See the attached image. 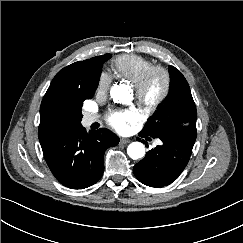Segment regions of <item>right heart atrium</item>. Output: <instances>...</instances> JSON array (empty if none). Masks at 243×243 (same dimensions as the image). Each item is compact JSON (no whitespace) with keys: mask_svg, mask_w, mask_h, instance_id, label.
Returning <instances> with one entry per match:
<instances>
[{"mask_svg":"<svg viewBox=\"0 0 243 243\" xmlns=\"http://www.w3.org/2000/svg\"><path fill=\"white\" fill-rule=\"evenodd\" d=\"M111 85V77L107 72H101L97 80V93L105 94Z\"/></svg>","mask_w":243,"mask_h":243,"instance_id":"right-heart-atrium-1","label":"right heart atrium"}]
</instances>
